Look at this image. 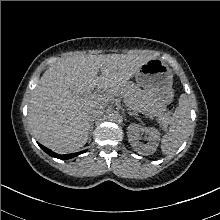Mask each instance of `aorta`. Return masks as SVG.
<instances>
[{
  "mask_svg": "<svg viewBox=\"0 0 220 220\" xmlns=\"http://www.w3.org/2000/svg\"><path fill=\"white\" fill-rule=\"evenodd\" d=\"M120 114L117 110H109L107 113V117L109 120L114 121L119 118Z\"/></svg>",
  "mask_w": 220,
  "mask_h": 220,
  "instance_id": "1",
  "label": "aorta"
}]
</instances>
